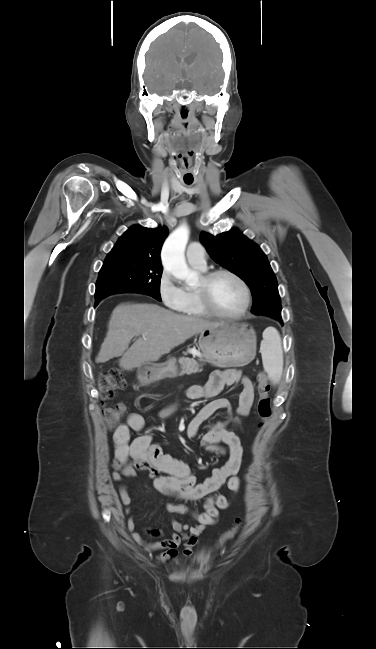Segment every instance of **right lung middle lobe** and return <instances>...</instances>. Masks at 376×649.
Wrapping results in <instances>:
<instances>
[{
  "label": "right lung middle lobe",
  "mask_w": 376,
  "mask_h": 649,
  "mask_svg": "<svg viewBox=\"0 0 376 649\" xmlns=\"http://www.w3.org/2000/svg\"><path fill=\"white\" fill-rule=\"evenodd\" d=\"M162 267L149 259L132 255L107 256L96 283L95 306L106 296L132 292L161 301Z\"/></svg>",
  "instance_id": "dd1d6c3e"
}]
</instances>
